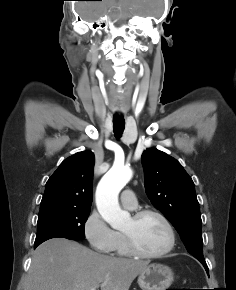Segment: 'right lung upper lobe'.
I'll list each match as a JSON object with an SVG mask.
<instances>
[{
    "instance_id": "obj_1",
    "label": "right lung upper lobe",
    "mask_w": 236,
    "mask_h": 290,
    "mask_svg": "<svg viewBox=\"0 0 236 290\" xmlns=\"http://www.w3.org/2000/svg\"><path fill=\"white\" fill-rule=\"evenodd\" d=\"M95 156L78 152L65 159L46 183L40 210L50 207L90 209Z\"/></svg>"
}]
</instances>
